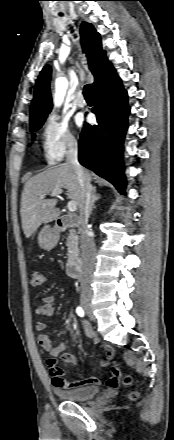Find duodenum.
Wrapping results in <instances>:
<instances>
[{
	"mask_svg": "<svg viewBox=\"0 0 174 440\" xmlns=\"http://www.w3.org/2000/svg\"><path fill=\"white\" fill-rule=\"evenodd\" d=\"M82 224V219L77 215H65L61 216L57 220V226L60 230H66L71 227H77ZM69 274L74 278H80L82 276V265L80 259L73 257L68 263Z\"/></svg>",
	"mask_w": 174,
	"mask_h": 440,
	"instance_id": "1",
	"label": "duodenum"
}]
</instances>
